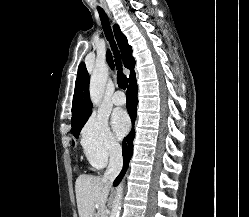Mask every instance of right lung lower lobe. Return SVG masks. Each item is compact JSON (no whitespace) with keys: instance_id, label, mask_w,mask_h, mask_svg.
Instances as JSON below:
<instances>
[{"instance_id":"obj_1","label":"right lung lower lobe","mask_w":249,"mask_h":217,"mask_svg":"<svg viewBox=\"0 0 249 217\" xmlns=\"http://www.w3.org/2000/svg\"><path fill=\"white\" fill-rule=\"evenodd\" d=\"M137 93H138V87H137L136 78L134 74L129 79V86L126 92L127 110L133 123L136 118V111H137V104H138ZM133 138H134V129H132L130 134L123 141V146H122L123 169L121 173L118 175V177L115 179L114 186L119 184V182L121 181L122 177L124 176L127 170L129 160L132 156Z\"/></svg>"}]
</instances>
